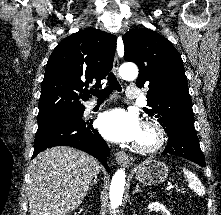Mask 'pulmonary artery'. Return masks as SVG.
Listing matches in <instances>:
<instances>
[{"label":"pulmonary artery","instance_id":"e3ab8cb5","mask_svg":"<svg viewBox=\"0 0 221 215\" xmlns=\"http://www.w3.org/2000/svg\"><path fill=\"white\" fill-rule=\"evenodd\" d=\"M139 94H140V92H139V89H138L137 87H135V86H129V87L127 88L126 95H127V97H128L129 99H136V98L139 97ZM95 106H96L95 103H91V104L89 105V109H92V108H94Z\"/></svg>","mask_w":221,"mask_h":215}]
</instances>
